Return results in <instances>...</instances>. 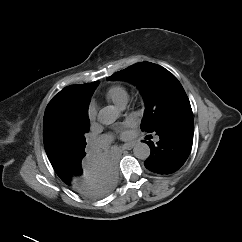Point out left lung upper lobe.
I'll use <instances>...</instances> for the list:
<instances>
[{"instance_id": "5c2ea615", "label": "left lung upper lobe", "mask_w": 242, "mask_h": 242, "mask_svg": "<svg viewBox=\"0 0 242 242\" xmlns=\"http://www.w3.org/2000/svg\"><path fill=\"white\" fill-rule=\"evenodd\" d=\"M136 85L145 100L142 131L152 132L171 116L191 109L189 99L178 79L165 68L150 62L136 63L107 77Z\"/></svg>"}]
</instances>
